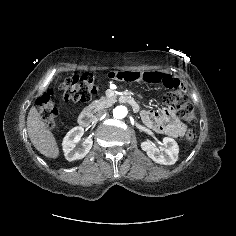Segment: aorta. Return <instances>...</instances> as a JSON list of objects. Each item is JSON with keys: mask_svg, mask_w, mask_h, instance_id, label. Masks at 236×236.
I'll return each instance as SVG.
<instances>
[{"mask_svg": "<svg viewBox=\"0 0 236 236\" xmlns=\"http://www.w3.org/2000/svg\"><path fill=\"white\" fill-rule=\"evenodd\" d=\"M128 116V109L124 105H118L113 109V117L119 120L125 119Z\"/></svg>", "mask_w": 236, "mask_h": 236, "instance_id": "aorta-1", "label": "aorta"}]
</instances>
